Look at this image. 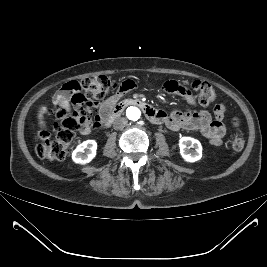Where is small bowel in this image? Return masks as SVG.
Masks as SVG:
<instances>
[{
    "label": "small bowel",
    "mask_w": 267,
    "mask_h": 267,
    "mask_svg": "<svg viewBox=\"0 0 267 267\" xmlns=\"http://www.w3.org/2000/svg\"><path fill=\"white\" fill-rule=\"evenodd\" d=\"M136 87V81L125 80L119 85L117 91L106 101L101 104H96L92 101L80 99L79 83L71 81L64 84L55 93L54 102L69 114L75 115L78 118L89 119L91 122L84 124L80 128L81 134H88L92 128H97L101 125L110 110L125 93ZM162 90L168 94L181 96L190 105L196 104L192 90L175 80L164 82ZM94 112H97V114L94 115ZM224 114L225 107L222 104L215 107L214 116L207 110L197 112L173 110L169 115L165 114V123L172 131H178L180 129L196 131L208 139L210 143L220 145L227 133L226 126L223 123Z\"/></svg>",
    "instance_id": "1"
}]
</instances>
